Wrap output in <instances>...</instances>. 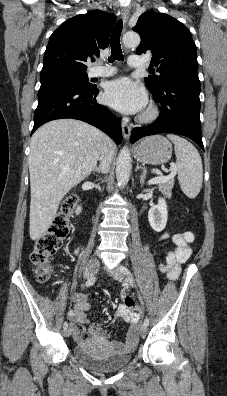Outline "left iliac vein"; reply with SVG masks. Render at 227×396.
<instances>
[{
    "instance_id": "obj_1",
    "label": "left iliac vein",
    "mask_w": 227,
    "mask_h": 396,
    "mask_svg": "<svg viewBox=\"0 0 227 396\" xmlns=\"http://www.w3.org/2000/svg\"><path fill=\"white\" fill-rule=\"evenodd\" d=\"M112 276L119 282L124 281V273L122 271V266H118L112 273ZM147 333V327L144 324H141L139 326V334L141 336L146 335Z\"/></svg>"
}]
</instances>
